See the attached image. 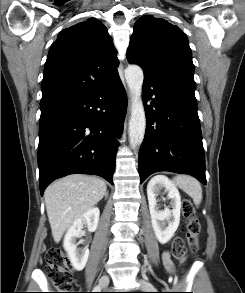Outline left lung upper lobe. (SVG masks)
Masks as SVG:
<instances>
[{
	"instance_id": "5c2ea615",
	"label": "left lung upper lobe",
	"mask_w": 245,
	"mask_h": 293,
	"mask_svg": "<svg viewBox=\"0 0 245 293\" xmlns=\"http://www.w3.org/2000/svg\"><path fill=\"white\" fill-rule=\"evenodd\" d=\"M127 60L142 67L144 78L196 100L191 49L177 26L161 18L142 16L134 25Z\"/></svg>"
}]
</instances>
